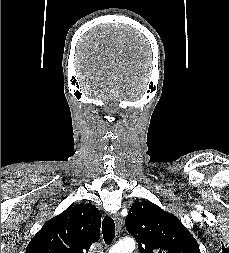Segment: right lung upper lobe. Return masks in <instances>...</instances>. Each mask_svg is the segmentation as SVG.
I'll use <instances>...</instances> for the list:
<instances>
[{
    "instance_id": "1",
    "label": "right lung upper lobe",
    "mask_w": 229,
    "mask_h": 253,
    "mask_svg": "<svg viewBox=\"0 0 229 253\" xmlns=\"http://www.w3.org/2000/svg\"><path fill=\"white\" fill-rule=\"evenodd\" d=\"M99 213L90 203L68 207L43 225L26 253H88L100 236Z\"/></svg>"
}]
</instances>
